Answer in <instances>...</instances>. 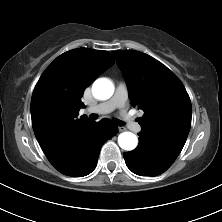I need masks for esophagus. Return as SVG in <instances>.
Returning <instances> with one entry per match:
<instances>
[{
    "instance_id": "34e87169",
    "label": "esophagus",
    "mask_w": 222,
    "mask_h": 222,
    "mask_svg": "<svg viewBox=\"0 0 222 222\" xmlns=\"http://www.w3.org/2000/svg\"><path fill=\"white\" fill-rule=\"evenodd\" d=\"M118 130H119V132H123L126 130V128L125 127H118Z\"/></svg>"
}]
</instances>
